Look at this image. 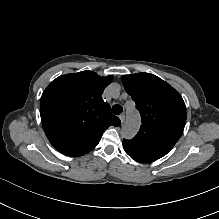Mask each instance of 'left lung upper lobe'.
<instances>
[{"label": "left lung upper lobe", "instance_id": "obj_1", "mask_svg": "<svg viewBox=\"0 0 219 219\" xmlns=\"http://www.w3.org/2000/svg\"><path fill=\"white\" fill-rule=\"evenodd\" d=\"M126 92L136 102L141 127L131 140H123L125 152L135 161L153 162L166 155L181 137L186 106L167 82L150 73L124 75Z\"/></svg>", "mask_w": 219, "mask_h": 219}]
</instances>
